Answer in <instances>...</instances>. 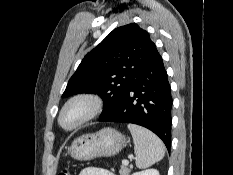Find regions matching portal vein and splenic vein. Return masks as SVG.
I'll use <instances>...</instances> for the list:
<instances>
[{
  "label": "portal vein and splenic vein",
  "mask_w": 233,
  "mask_h": 175,
  "mask_svg": "<svg viewBox=\"0 0 233 175\" xmlns=\"http://www.w3.org/2000/svg\"><path fill=\"white\" fill-rule=\"evenodd\" d=\"M122 164H123L124 166H127V165L129 164V161H128V160H123V161H122Z\"/></svg>",
  "instance_id": "portal-vein-and-splenic-vein-1"
}]
</instances>
